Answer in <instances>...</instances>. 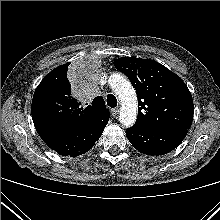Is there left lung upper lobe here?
<instances>
[{"mask_svg": "<svg viewBox=\"0 0 220 220\" xmlns=\"http://www.w3.org/2000/svg\"><path fill=\"white\" fill-rule=\"evenodd\" d=\"M114 66L128 76L137 92L135 124L157 129L191 127L193 99L179 76L150 59L122 57L114 60Z\"/></svg>", "mask_w": 220, "mask_h": 220, "instance_id": "5c2ea615", "label": "left lung upper lobe"}]
</instances>
